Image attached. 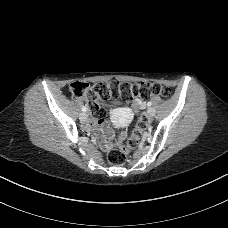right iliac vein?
Wrapping results in <instances>:
<instances>
[{"mask_svg":"<svg viewBox=\"0 0 228 228\" xmlns=\"http://www.w3.org/2000/svg\"><path fill=\"white\" fill-rule=\"evenodd\" d=\"M87 118L88 117H87L86 113H84V112L80 113V115H79L80 121L85 122L87 120Z\"/></svg>","mask_w":228,"mask_h":228,"instance_id":"1","label":"right iliac vein"}]
</instances>
